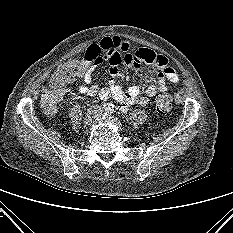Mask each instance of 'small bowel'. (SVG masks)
<instances>
[{
    "mask_svg": "<svg viewBox=\"0 0 233 233\" xmlns=\"http://www.w3.org/2000/svg\"><path fill=\"white\" fill-rule=\"evenodd\" d=\"M120 52H125V54L121 55ZM84 57L90 61V64L82 74L86 85L79 83V92L90 97L98 94L103 100L113 98L119 103L122 111H126L134 104L146 105L150 98L158 92L166 91V79L174 83L179 81V75L168 65L165 56L157 55L149 49H132L127 42L119 37H105L91 44ZM102 61H107L110 64L109 70L113 78L107 86L99 89L97 85L92 84V70L95 65ZM121 63L132 68H140L142 63L152 66L148 76L151 81L155 79L156 81L146 88L144 95H141V88L138 85L124 88L121 83L124 75L119 70Z\"/></svg>",
    "mask_w": 233,
    "mask_h": 233,
    "instance_id": "c3829d8e",
    "label": "small bowel"
}]
</instances>
